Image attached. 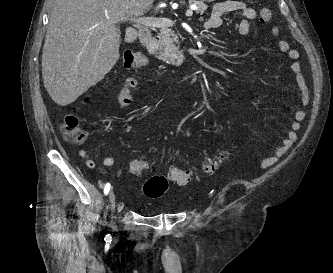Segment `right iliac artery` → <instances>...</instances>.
Returning <instances> with one entry per match:
<instances>
[{
  "mask_svg": "<svg viewBox=\"0 0 333 273\" xmlns=\"http://www.w3.org/2000/svg\"><path fill=\"white\" fill-rule=\"evenodd\" d=\"M110 187H111L110 183H107V184L105 185V187H104V194H105V195H107V194L109 193V191H110ZM109 237H110L109 234H107V235H106V238H109Z\"/></svg>",
  "mask_w": 333,
  "mask_h": 273,
  "instance_id": "1",
  "label": "right iliac artery"
}]
</instances>
